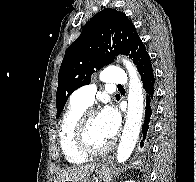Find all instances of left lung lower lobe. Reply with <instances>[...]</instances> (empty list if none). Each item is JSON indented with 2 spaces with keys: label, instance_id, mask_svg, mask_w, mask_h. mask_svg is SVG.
Listing matches in <instances>:
<instances>
[{
  "label": "left lung lower lobe",
  "instance_id": "0a47b994",
  "mask_svg": "<svg viewBox=\"0 0 196 182\" xmlns=\"http://www.w3.org/2000/svg\"><path fill=\"white\" fill-rule=\"evenodd\" d=\"M138 72L145 89V120L142 126L143 140L140 143L142 152L148 150V143L152 137L153 121L155 118V78L149 54L143 57L138 65Z\"/></svg>",
  "mask_w": 196,
  "mask_h": 182
}]
</instances>
